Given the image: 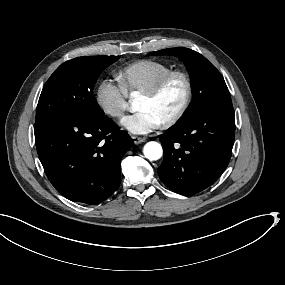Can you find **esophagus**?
<instances>
[{
	"instance_id": "obj_1",
	"label": "esophagus",
	"mask_w": 285,
	"mask_h": 285,
	"mask_svg": "<svg viewBox=\"0 0 285 285\" xmlns=\"http://www.w3.org/2000/svg\"><path fill=\"white\" fill-rule=\"evenodd\" d=\"M131 139H132V141H133L135 144H140V143L146 141L145 138H143V137H136V136L131 137Z\"/></svg>"
}]
</instances>
